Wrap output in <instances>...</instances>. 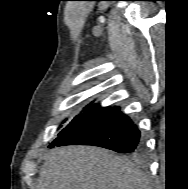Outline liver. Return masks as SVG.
<instances>
[{"mask_svg": "<svg viewBox=\"0 0 188 189\" xmlns=\"http://www.w3.org/2000/svg\"><path fill=\"white\" fill-rule=\"evenodd\" d=\"M36 189H151L147 175L127 158L92 146L54 148Z\"/></svg>", "mask_w": 188, "mask_h": 189, "instance_id": "6515ba94", "label": "liver"}]
</instances>
